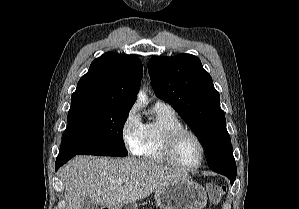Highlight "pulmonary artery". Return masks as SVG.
Instances as JSON below:
<instances>
[{"instance_id": "e3ab8cb5", "label": "pulmonary artery", "mask_w": 299, "mask_h": 209, "mask_svg": "<svg viewBox=\"0 0 299 209\" xmlns=\"http://www.w3.org/2000/svg\"><path fill=\"white\" fill-rule=\"evenodd\" d=\"M155 106L162 107L164 109L174 111L173 108L168 103H166V102H164L162 100H157L155 102Z\"/></svg>"}]
</instances>
